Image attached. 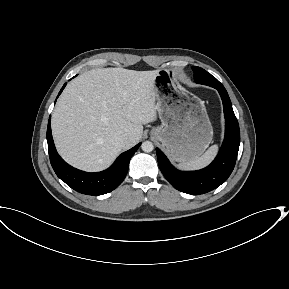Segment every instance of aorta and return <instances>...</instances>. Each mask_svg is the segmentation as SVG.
I'll use <instances>...</instances> for the list:
<instances>
[{
  "mask_svg": "<svg viewBox=\"0 0 289 289\" xmlns=\"http://www.w3.org/2000/svg\"><path fill=\"white\" fill-rule=\"evenodd\" d=\"M141 148L144 152L149 153V152L153 151L154 145L150 141H145L142 143Z\"/></svg>",
  "mask_w": 289,
  "mask_h": 289,
  "instance_id": "obj_1",
  "label": "aorta"
}]
</instances>
